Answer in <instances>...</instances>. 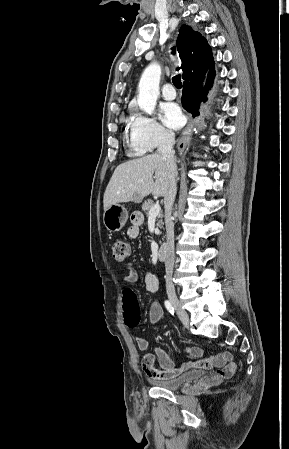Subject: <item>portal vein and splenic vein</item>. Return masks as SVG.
Returning <instances> with one entry per match:
<instances>
[{"label":"portal vein and splenic vein","mask_w":289,"mask_h":449,"mask_svg":"<svg viewBox=\"0 0 289 449\" xmlns=\"http://www.w3.org/2000/svg\"><path fill=\"white\" fill-rule=\"evenodd\" d=\"M161 211V207L159 204H155L149 211V218H156Z\"/></svg>","instance_id":"1"}]
</instances>
